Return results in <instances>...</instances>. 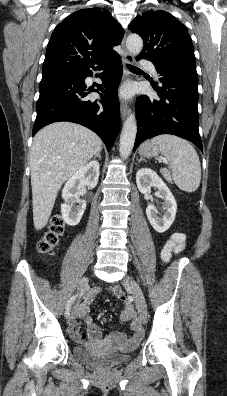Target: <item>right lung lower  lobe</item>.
I'll return each mask as SVG.
<instances>
[{
  "instance_id": "obj_1",
  "label": "right lung lower lobe",
  "mask_w": 227,
  "mask_h": 396,
  "mask_svg": "<svg viewBox=\"0 0 227 396\" xmlns=\"http://www.w3.org/2000/svg\"><path fill=\"white\" fill-rule=\"evenodd\" d=\"M91 67L104 70L100 76L102 84L94 90L101 96L99 102L85 99L91 92L86 89L84 82L87 76H92ZM122 73L121 59L116 53L86 67L44 74L39 87L37 117L32 135L53 122H74L94 131L109 151L120 127L117 89Z\"/></svg>"
}]
</instances>
